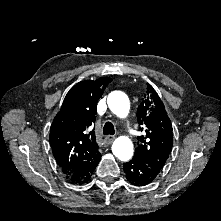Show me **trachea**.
Here are the masks:
<instances>
[{
  "instance_id": "1",
  "label": "trachea",
  "mask_w": 221,
  "mask_h": 221,
  "mask_svg": "<svg viewBox=\"0 0 221 221\" xmlns=\"http://www.w3.org/2000/svg\"><path fill=\"white\" fill-rule=\"evenodd\" d=\"M104 135H114L115 129L111 122H106L103 128Z\"/></svg>"
}]
</instances>
